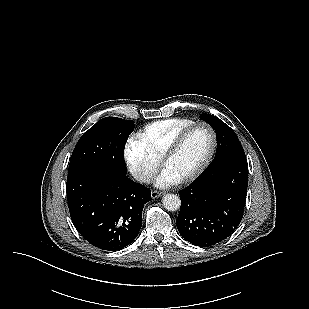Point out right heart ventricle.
Instances as JSON below:
<instances>
[{"mask_svg": "<svg viewBox=\"0 0 309 309\" xmlns=\"http://www.w3.org/2000/svg\"><path fill=\"white\" fill-rule=\"evenodd\" d=\"M191 119L171 118L146 125L136 136V140L152 155L161 159L173 139L187 126Z\"/></svg>", "mask_w": 309, "mask_h": 309, "instance_id": "right-heart-ventricle-1", "label": "right heart ventricle"}]
</instances>
